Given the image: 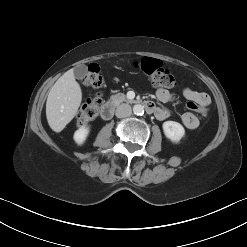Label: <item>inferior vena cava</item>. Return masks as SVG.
Wrapping results in <instances>:
<instances>
[{"instance_id":"inferior-vena-cava-1","label":"inferior vena cava","mask_w":247,"mask_h":247,"mask_svg":"<svg viewBox=\"0 0 247 247\" xmlns=\"http://www.w3.org/2000/svg\"><path fill=\"white\" fill-rule=\"evenodd\" d=\"M132 113L131 106L129 104H121L116 109V116L118 118H124L130 116Z\"/></svg>"}]
</instances>
